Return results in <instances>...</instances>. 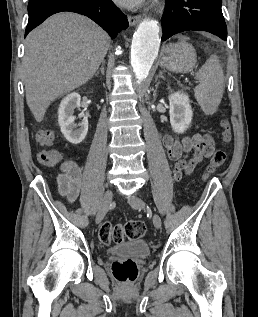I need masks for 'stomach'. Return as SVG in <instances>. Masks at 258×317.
Wrapping results in <instances>:
<instances>
[{
  "instance_id": "1",
  "label": "stomach",
  "mask_w": 258,
  "mask_h": 317,
  "mask_svg": "<svg viewBox=\"0 0 258 317\" xmlns=\"http://www.w3.org/2000/svg\"><path fill=\"white\" fill-rule=\"evenodd\" d=\"M160 60L171 72H190L196 64L197 54L193 44L179 40L162 46Z\"/></svg>"
}]
</instances>
